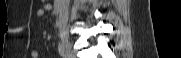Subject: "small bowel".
I'll use <instances>...</instances> for the list:
<instances>
[{
    "mask_svg": "<svg viewBox=\"0 0 181 58\" xmlns=\"http://www.w3.org/2000/svg\"><path fill=\"white\" fill-rule=\"evenodd\" d=\"M49 10H50V5H48V4L43 5L41 8L38 9L37 14L40 17H44ZM38 56H39L38 51L37 50H32L31 57L32 58H38Z\"/></svg>",
    "mask_w": 181,
    "mask_h": 58,
    "instance_id": "1",
    "label": "small bowel"
}]
</instances>
